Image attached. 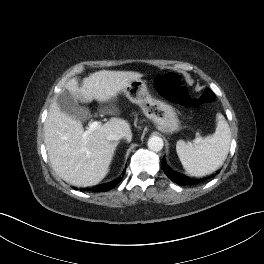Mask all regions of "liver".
<instances>
[{
	"label": "liver",
	"mask_w": 264,
	"mask_h": 264,
	"mask_svg": "<svg viewBox=\"0 0 264 264\" xmlns=\"http://www.w3.org/2000/svg\"><path fill=\"white\" fill-rule=\"evenodd\" d=\"M141 77L138 72L102 70L84 78L82 87L75 78L64 87L83 103L107 102ZM84 132L79 120L62 112L56 101L51 104L44 124L49 160L64 181L79 187L97 185L108 174L115 151L114 143L107 139L109 134L119 133L127 141L132 139L129 123L120 118H111L86 137Z\"/></svg>",
	"instance_id": "6515ba94"
}]
</instances>
